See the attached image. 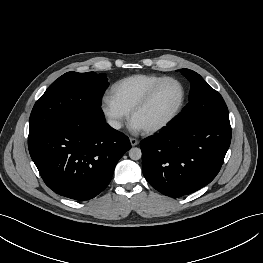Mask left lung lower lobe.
Here are the masks:
<instances>
[{
    "instance_id": "left-lung-lower-lobe-1",
    "label": "left lung lower lobe",
    "mask_w": 263,
    "mask_h": 263,
    "mask_svg": "<svg viewBox=\"0 0 263 263\" xmlns=\"http://www.w3.org/2000/svg\"><path fill=\"white\" fill-rule=\"evenodd\" d=\"M231 134L229 118L210 119L184 131L171 122L141 142L143 174L164 195L193 193L220 171Z\"/></svg>"
}]
</instances>
